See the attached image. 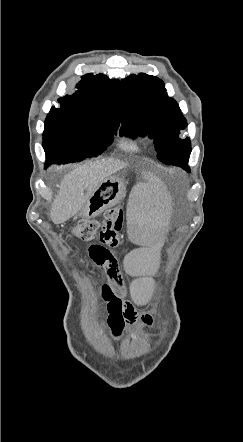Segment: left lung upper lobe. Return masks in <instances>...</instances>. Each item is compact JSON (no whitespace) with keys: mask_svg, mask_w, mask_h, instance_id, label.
Returning <instances> with one entry per match:
<instances>
[{"mask_svg":"<svg viewBox=\"0 0 243 442\" xmlns=\"http://www.w3.org/2000/svg\"><path fill=\"white\" fill-rule=\"evenodd\" d=\"M165 91L163 81L152 75L140 73L123 79L121 132L124 130L125 136L133 138L148 134L154 139L161 162L190 171V139H179L187 122L176 101Z\"/></svg>","mask_w":243,"mask_h":442,"instance_id":"left-lung-upper-lobe-1","label":"left lung upper lobe"}]
</instances>
